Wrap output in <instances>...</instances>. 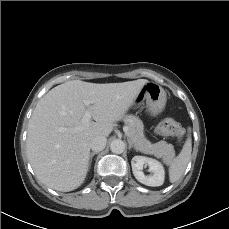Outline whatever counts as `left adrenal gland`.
<instances>
[{"label": "left adrenal gland", "mask_w": 229, "mask_h": 229, "mask_svg": "<svg viewBox=\"0 0 229 229\" xmlns=\"http://www.w3.org/2000/svg\"><path fill=\"white\" fill-rule=\"evenodd\" d=\"M128 143H129V150H130L131 148H134L136 151H138V150L132 145V143H131L130 141H128Z\"/></svg>", "instance_id": "a2214340"}]
</instances>
